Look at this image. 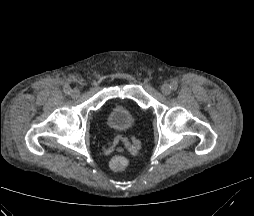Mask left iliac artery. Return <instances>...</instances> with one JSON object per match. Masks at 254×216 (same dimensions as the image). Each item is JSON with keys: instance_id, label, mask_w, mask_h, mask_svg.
I'll return each mask as SVG.
<instances>
[{"instance_id": "44dca946", "label": "left iliac artery", "mask_w": 254, "mask_h": 216, "mask_svg": "<svg viewBox=\"0 0 254 216\" xmlns=\"http://www.w3.org/2000/svg\"><path fill=\"white\" fill-rule=\"evenodd\" d=\"M170 87H171L172 90H177V88H178L177 82H172Z\"/></svg>"}]
</instances>
